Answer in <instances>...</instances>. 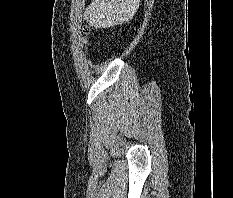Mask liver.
<instances>
[{"label":"liver","mask_w":233,"mask_h":198,"mask_svg":"<svg viewBox=\"0 0 233 198\" xmlns=\"http://www.w3.org/2000/svg\"><path fill=\"white\" fill-rule=\"evenodd\" d=\"M141 0H92L84 19L95 29H106L128 22L136 14Z\"/></svg>","instance_id":"liver-1"}]
</instances>
